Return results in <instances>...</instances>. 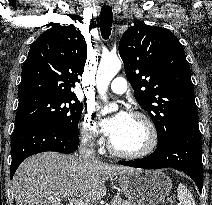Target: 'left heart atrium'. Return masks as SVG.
I'll list each match as a JSON object with an SVG mask.
<instances>
[{
  "label": "left heart atrium",
  "instance_id": "1",
  "mask_svg": "<svg viewBox=\"0 0 212 205\" xmlns=\"http://www.w3.org/2000/svg\"><path fill=\"white\" fill-rule=\"evenodd\" d=\"M129 117L130 116L127 113L120 112L111 118L104 119L102 122L103 131L106 135L112 138L126 123Z\"/></svg>",
  "mask_w": 212,
  "mask_h": 205
}]
</instances>
